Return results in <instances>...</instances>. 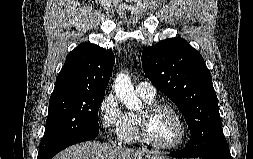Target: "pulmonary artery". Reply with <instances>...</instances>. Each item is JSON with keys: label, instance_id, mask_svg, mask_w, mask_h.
Here are the masks:
<instances>
[{"label": "pulmonary artery", "instance_id": "pulmonary-artery-1", "mask_svg": "<svg viewBox=\"0 0 253 159\" xmlns=\"http://www.w3.org/2000/svg\"><path fill=\"white\" fill-rule=\"evenodd\" d=\"M135 90L139 96H144L147 98H154L156 95L155 87L152 83L147 81L138 83Z\"/></svg>", "mask_w": 253, "mask_h": 159}]
</instances>
